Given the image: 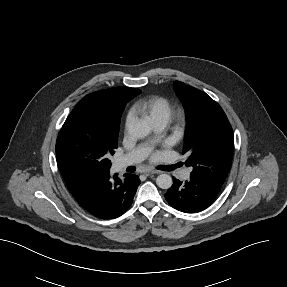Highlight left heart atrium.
Listing matches in <instances>:
<instances>
[{"mask_svg": "<svg viewBox=\"0 0 287 287\" xmlns=\"http://www.w3.org/2000/svg\"><path fill=\"white\" fill-rule=\"evenodd\" d=\"M159 157V154L158 153H155L153 156H152V159L155 160Z\"/></svg>", "mask_w": 287, "mask_h": 287, "instance_id": "left-heart-atrium-1", "label": "left heart atrium"}]
</instances>
